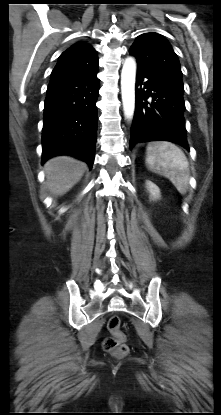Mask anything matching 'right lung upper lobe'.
Masks as SVG:
<instances>
[{"label":"right lung upper lobe","mask_w":221,"mask_h":415,"mask_svg":"<svg viewBox=\"0 0 221 415\" xmlns=\"http://www.w3.org/2000/svg\"><path fill=\"white\" fill-rule=\"evenodd\" d=\"M96 68H98L96 50L87 43L78 42L60 55L51 77L69 75Z\"/></svg>","instance_id":"obj_1"}]
</instances>
